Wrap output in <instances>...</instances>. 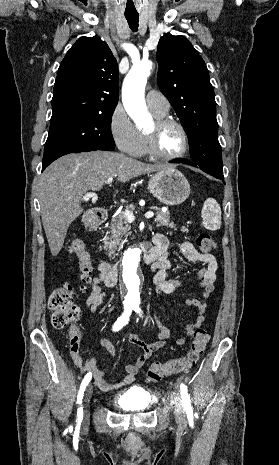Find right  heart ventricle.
I'll list each match as a JSON object with an SVG mask.
<instances>
[{"mask_svg":"<svg viewBox=\"0 0 279 465\" xmlns=\"http://www.w3.org/2000/svg\"><path fill=\"white\" fill-rule=\"evenodd\" d=\"M151 112L153 113V115L156 118L165 117L166 114H167V113H160V112H157V111H154V110H151ZM147 154H148V150H147L145 132L137 131L136 144H135V147H134L131 155L137 156V157H142V156H146Z\"/></svg>","mask_w":279,"mask_h":465,"instance_id":"e07e8e85","label":"right heart ventricle"}]
</instances>
